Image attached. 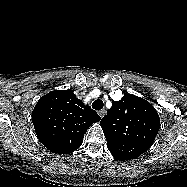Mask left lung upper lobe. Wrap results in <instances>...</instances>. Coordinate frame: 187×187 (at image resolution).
I'll return each instance as SVG.
<instances>
[{
  "instance_id": "obj_1",
  "label": "left lung upper lobe",
  "mask_w": 187,
  "mask_h": 187,
  "mask_svg": "<svg viewBox=\"0 0 187 187\" xmlns=\"http://www.w3.org/2000/svg\"><path fill=\"white\" fill-rule=\"evenodd\" d=\"M107 147L120 160L139 157L153 144L160 128V118L151 103L133 94L113 101L101 120Z\"/></svg>"
}]
</instances>
